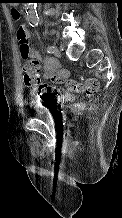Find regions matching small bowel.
<instances>
[{"instance_id": "1", "label": "small bowel", "mask_w": 122, "mask_h": 218, "mask_svg": "<svg viewBox=\"0 0 122 218\" xmlns=\"http://www.w3.org/2000/svg\"><path fill=\"white\" fill-rule=\"evenodd\" d=\"M31 57L33 60L37 61L40 65L39 70L42 71V77L47 80L64 82L68 78V72L61 70L59 64L48 58H42L36 52H32ZM40 77L38 73V78Z\"/></svg>"}]
</instances>
